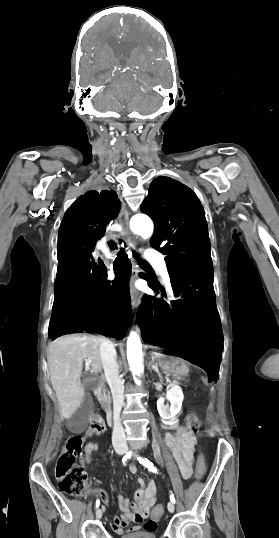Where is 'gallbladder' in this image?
Instances as JSON below:
<instances>
[{"instance_id": "gallbladder-1", "label": "gallbladder", "mask_w": 279, "mask_h": 538, "mask_svg": "<svg viewBox=\"0 0 279 538\" xmlns=\"http://www.w3.org/2000/svg\"><path fill=\"white\" fill-rule=\"evenodd\" d=\"M83 384L86 388L90 387H101L103 380L101 376H92V374H82ZM96 407V402L94 399L85 398L83 404L77 406L76 413L71 414V431L73 433H80L82 428L88 426V419L91 416V410H94Z\"/></svg>"}]
</instances>
